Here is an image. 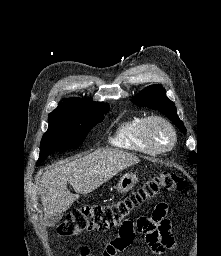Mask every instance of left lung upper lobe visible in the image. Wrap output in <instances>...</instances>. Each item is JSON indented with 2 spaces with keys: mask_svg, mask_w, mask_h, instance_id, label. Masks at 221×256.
<instances>
[{
  "mask_svg": "<svg viewBox=\"0 0 221 256\" xmlns=\"http://www.w3.org/2000/svg\"><path fill=\"white\" fill-rule=\"evenodd\" d=\"M132 102L150 109H155L168 116L173 123L180 129L181 132L186 133L183 122L177 115L175 104L166 96V91L161 85H150L138 95L133 97ZM195 155H191L189 162L195 163Z\"/></svg>",
  "mask_w": 221,
  "mask_h": 256,
  "instance_id": "obj_1",
  "label": "left lung upper lobe"
}]
</instances>
